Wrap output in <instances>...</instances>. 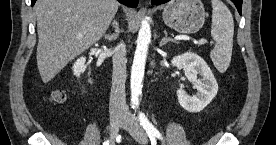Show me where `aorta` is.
<instances>
[{
    "instance_id": "aorta-1",
    "label": "aorta",
    "mask_w": 276,
    "mask_h": 145,
    "mask_svg": "<svg viewBox=\"0 0 276 145\" xmlns=\"http://www.w3.org/2000/svg\"><path fill=\"white\" fill-rule=\"evenodd\" d=\"M151 42V29L147 19L141 23L136 41V51L134 54L132 69H131V103L132 105L139 104V97L142 93V81L144 78L145 64L148 53V47Z\"/></svg>"
}]
</instances>
